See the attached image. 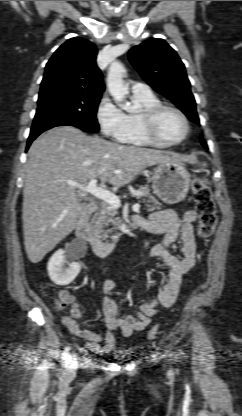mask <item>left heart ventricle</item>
<instances>
[{
	"label": "left heart ventricle",
	"mask_w": 242,
	"mask_h": 416,
	"mask_svg": "<svg viewBox=\"0 0 242 416\" xmlns=\"http://www.w3.org/2000/svg\"><path fill=\"white\" fill-rule=\"evenodd\" d=\"M157 131L166 140H177L184 133L181 118L172 111L163 112L157 121Z\"/></svg>",
	"instance_id": "obj_1"
}]
</instances>
